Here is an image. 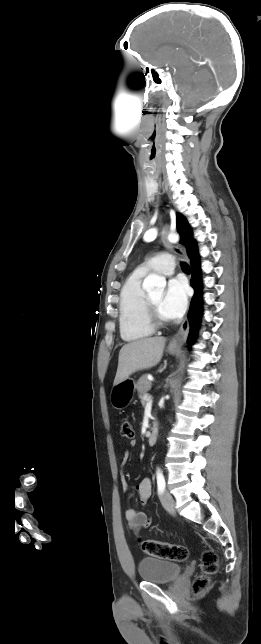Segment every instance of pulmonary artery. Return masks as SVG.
<instances>
[{
	"mask_svg": "<svg viewBox=\"0 0 261 644\" xmlns=\"http://www.w3.org/2000/svg\"><path fill=\"white\" fill-rule=\"evenodd\" d=\"M175 258L166 253L158 254L148 260L146 263L139 267V270L147 273L150 271H158L161 273H169L175 267Z\"/></svg>",
	"mask_w": 261,
	"mask_h": 644,
	"instance_id": "pulmonary-artery-1",
	"label": "pulmonary artery"
}]
</instances>
